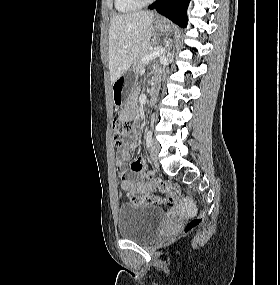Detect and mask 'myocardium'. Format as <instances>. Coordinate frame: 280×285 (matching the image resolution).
Returning a JSON list of instances; mask_svg holds the SVG:
<instances>
[{"label": "myocardium", "instance_id": "myocardium-1", "mask_svg": "<svg viewBox=\"0 0 280 285\" xmlns=\"http://www.w3.org/2000/svg\"><path fill=\"white\" fill-rule=\"evenodd\" d=\"M136 2H138L139 4H148L153 2L154 0H135Z\"/></svg>", "mask_w": 280, "mask_h": 285}]
</instances>
